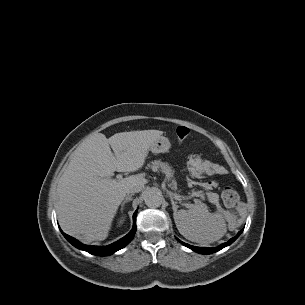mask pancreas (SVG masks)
I'll return each mask as SVG.
<instances>
[{
  "instance_id": "obj_1",
  "label": "pancreas",
  "mask_w": 305,
  "mask_h": 305,
  "mask_svg": "<svg viewBox=\"0 0 305 305\" xmlns=\"http://www.w3.org/2000/svg\"><path fill=\"white\" fill-rule=\"evenodd\" d=\"M148 167L154 172L161 171L166 175L168 180H171L174 177V171L172 170L171 166L168 163L162 162L161 160L152 161L150 164H148ZM200 195L204 197L202 193Z\"/></svg>"
}]
</instances>
